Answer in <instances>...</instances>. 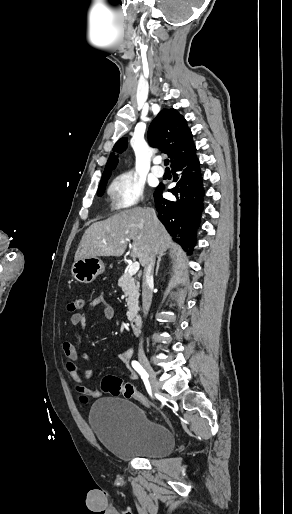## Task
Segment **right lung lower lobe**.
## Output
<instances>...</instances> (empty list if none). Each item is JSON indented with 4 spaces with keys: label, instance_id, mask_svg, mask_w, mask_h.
I'll return each instance as SVG.
<instances>
[{
    "label": "right lung lower lobe",
    "instance_id": "right-lung-lower-lobe-1",
    "mask_svg": "<svg viewBox=\"0 0 292 514\" xmlns=\"http://www.w3.org/2000/svg\"><path fill=\"white\" fill-rule=\"evenodd\" d=\"M173 181L176 185L169 189L175 199L162 197V183L154 192L155 207L159 220L184 250L191 252L196 243V231L201 223L204 210L205 189L200 163L196 156L178 162L172 167ZM179 235L182 238L176 239Z\"/></svg>",
    "mask_w": 292,
    "mask_h": 514
}]
</instances>
